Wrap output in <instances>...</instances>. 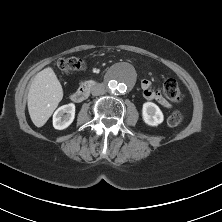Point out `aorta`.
<instances>
[{
  "label": "aorta",
  "instance_id": "aorta-1",
  "mask_svg": "<svg viewBox=\"0 0 222 222\" xmlns=\"http://www.w3.org/2000/svg\"><path fill=\"white\" fill-rule=\"evenodd\" d=\"M133 84V78L125 68L114 69L107 78V86L112 93H124Z\"/></svg>",
  "mask_w": 222,
  "mask_h": 222
}]
</instances>
